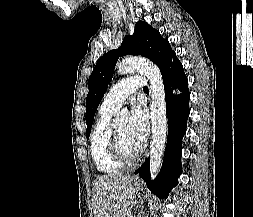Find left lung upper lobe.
Returning a JSON list of instances; mask_svg holds the SVG:
<instances>
[{
  "label": "left lung upper lobe",
  "mask_w": 253,
  "mask_h": 217,
  "mask_svg": "<svg viewBox=\"0 0 253 217\" xmlns=\"http://www.w3.org/2000/svg\"><path fill=\"white\" fill-rule=\"evenodd\" d=\"M127 54L141 55L149 58L157 64L160 71L176 55L171 49L169 42L161 37L159 31L152 28L146 22H137L133 35H127L118 49L104 54L96 63L89 77V93L86 98L87 138L90 135L97 107L113 78L117 60L120 56Z\"/></svg>",
  "instance_id": "1"
}]
</instances>
